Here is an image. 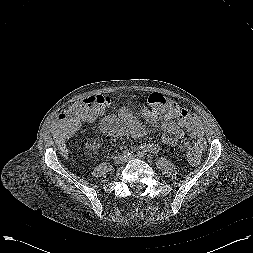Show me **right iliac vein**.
I'll use <instances>...</instances> for the list:
<instances>
[{"label": "right iliac vein", "instance_id": "1", "mask_svg": "<svg viewBox=\"0 0 253 253\" xmlns=\"http://www.w3.org/2000/svg\"><path fill=\"white\" fill-rule=\"evenodd\" d=\"M125 162V158L123 157V156H116V158H115V163H117V164H122V163H124Z\"/></svg>", "mask_w": 253, "mask_h": 253}]
</instances>
